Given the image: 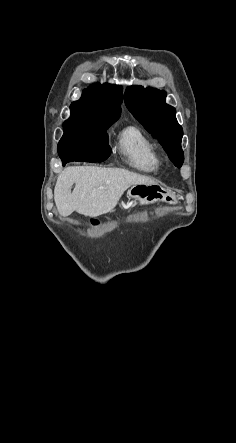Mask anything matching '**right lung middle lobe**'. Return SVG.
<instances>
[{"label":"right lung middle lobe","mask_w":236,"mask_h":443,"mask_svg":"<svg viewBox=\"0 0 236 443\" xmlns=\"http://www.w3.org/2000/svg\"><path fill=\"white\" fill-rule=\"evenodd\" d=\"M118 118L111 116L72 115L63 123L64 134L58 151L67 146H108L106 130Z\"/></svg>","instance_id":"1"}]
</instances>
